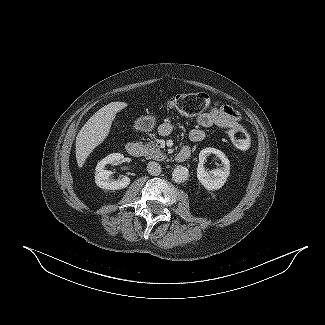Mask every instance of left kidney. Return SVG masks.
<instances>
[{"instance_id":"left-kidney-1","label":"left kidney","mask_w":325,"mask_h":325,"mask_svg":"<svg viewBox=\"0 0 325 325\" xmlns=\"http://www.w3.org/2000/svg\"><path fill=\"white\" fill-rule=\"evenodd\" d=\"M210 154H215L222 162L220 169L207 172L203 166L206 158ZM230 174V162L226 155L215 148H205L199 153V163L197 167V178L199 182L209 191L220 189L227 181Z\"/></svg>"}]
</instances>
